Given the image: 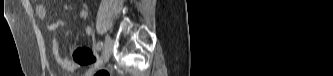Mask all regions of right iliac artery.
<instances>
[{
  "label": "right iliac artery",
  "mask_w": 333,
  "mask_h": 76,
  "mask_svg": "<svg viewBox=\"0 0 333 76\" xmlns=\"http://www.w3.org/2000/svg\"><path fill=\"white\" fill-rule=\"evenodd\" d=\"M102 47H103V43L102 42H98L97 45L95 46V50L96 51H100Z\"/></svg>",
  "instance_id": "obj_1"
}]
</instances>
